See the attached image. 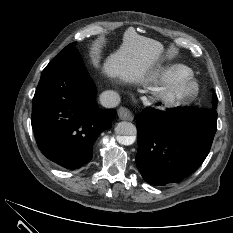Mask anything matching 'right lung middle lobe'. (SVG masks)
<instances>
[{"instance_id": "dd1d6c3e", "label": "right lung middle lobe", "mask_w": 233, "mask_h": 233, "mask_svg": "<svg viewBox=\"0 0 233 233\" xmlns=\"http://www.w3.org/2000/svg\"><path fill=\"white\" fill-rule=\"evenodd\" d=\"M77 42H74V43H71L69 44L68 46H66L60 53L59 55H62V54H71V53H78V51L76 50L75 48V45H76Z\"/></svg>"}]
</instances>
